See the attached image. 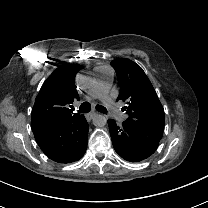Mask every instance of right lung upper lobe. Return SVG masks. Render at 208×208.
Returning <instances> with one entry per match:
<instances>
[{
    "label": "right lung upper lobe",
    "mask_w": 208,
    "mask_h": 208,
    "mask_svg": "<svg viewBox=\"0 0 208 208\" xmlns=\"http://www.w3.org/2000/svg\"><path fill=\"white\" fill-rule=\"evenodd\" d=\"M80 65H63L56 68L43 83L32 109L31 126L68 122L80 117L68 108L79 99L75 76Z\"/></svg>",
    "instance_id": "obj_1"
}]
</instances>
